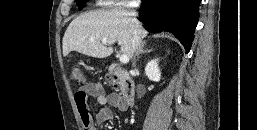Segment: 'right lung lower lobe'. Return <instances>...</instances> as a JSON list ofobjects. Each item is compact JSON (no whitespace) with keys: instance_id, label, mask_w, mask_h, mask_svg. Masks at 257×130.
I'll use <instances>...</instances> for the list:
<instances>
[{"instance_id":"obj_1","label":"right lung lower lobe","mask_w":257,"mask_h":130,"mask_svg":"<svg viewBox=\"0 0 257 130\" xmlns=\"http://www.w3.org/2000/svg\"><path fill=\"white\" fill-rule=\"evenodd\" d=\"M139 20L149 32H170L191 49L200 0H142Z\"/></svg>"}]
</instances>
